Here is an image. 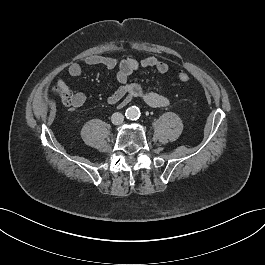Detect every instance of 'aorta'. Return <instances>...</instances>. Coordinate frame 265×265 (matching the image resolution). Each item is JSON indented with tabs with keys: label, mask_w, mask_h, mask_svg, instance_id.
<instances>
[{
	"label": "aorta",
	"mask_w": 265,
	"mask_h": 265,
	"mask_svg": "<svg viewBox=\"0 0 265 265\" xmlns=\"http://www.w3.org/2000/svg\"><path fill=\"white\" fill-rule=\"evenodd\" d=\"M140 116V110L136 106H131L126 110V117L128 119H137Z\"/></svg>",
	"instance_id": "762f6f07"
}]
</instances>
